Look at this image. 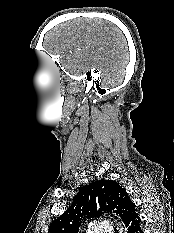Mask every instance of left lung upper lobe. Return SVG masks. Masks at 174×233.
<instances>
[{
	"label": "left lung upper lobe",
	"instance_id": "5c2ea615",
	"mask_svg": "<svg viewBox=\"0 0 174 233\" xmlns=\"http://www.w3.org/2000/svg\"><path fill=\"white\" fill-rule=\"evenodd\" d=\"M135 211L128 193L118 183L95 181L80 189L69 208L50 224L48 233H79L86 220L105 213H116L124 222Z\"/></svg>",
	"mask_w": 174,
	"mask_h": 233
}]
</instances>
